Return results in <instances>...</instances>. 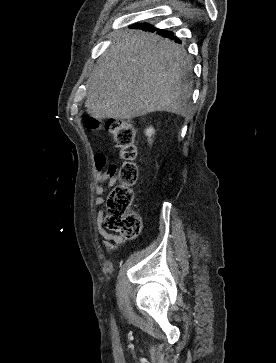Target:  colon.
Wrapping results in <instances>:
<instances>
[{
	"instance_id": "colon-1",
	"label": "colon",
	"mask_w": 276,
	"mask_h": 363,
	"mask_svg": "<svg viewBox=\"0 0 276 363\" xmlns=\"http://www.w3.org/2000/svg\"><path fill=\"white\" fill-rule=\"evenodd\" d=\"M91 128L98 124L90 123ZM107 132L114 139L123 159L117 179L118 183L112 188L106 200L105 227L123 237H136L142 228L141 216L132 211L134 200V185L138 180V167L134 162L137 157L135 145V126L130 121L113 120L106 123Z\"/></svg>"
}]
</instances>
